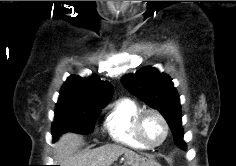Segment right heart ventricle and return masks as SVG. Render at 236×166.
Listing matches in <instances>:
<instances>
[{
	"label": "right heart ventricle",
	"instance_id": "obj_1",
	"mask_svg": "<svg viewBox=\"0 0 236 166\" xmlns=\"http://www.w3.org/2000/svg\"><path fill=\"white\" fill-rule=\"evenodd\" d=\"M142 107L131 98H122L115 101L107 111L104 126L117 144L142 150L146 147L138 140L134 122Z\"/></svg>",
	"mask_w": 236,
	"mask_h": 166
}]
</instances>
